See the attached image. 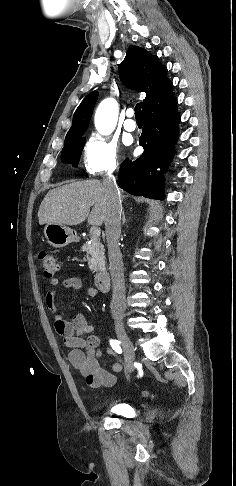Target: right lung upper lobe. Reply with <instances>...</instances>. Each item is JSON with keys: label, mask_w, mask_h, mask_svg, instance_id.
<instances>
[{"label": "right lung upper lobe", "mask_w": 236, "mask_h": 486, "mask_svg": "<svg viewBox=\"0 0 236 486\" xmlns=\"http://www.w3.org/2000/svg\"><path fill=\"white\" fill-rule=\"evenodd\" d=\"M120 79L124 85L145 92L143 108L172 93L173 84L168 80L167 68L158 57L145 49L131 46L119 67ZM97 99V92L88 94L76 109L72 126L65 138V144L82 138L86 131Z\"/></svg>", "instance_id": "obj_1"}]
</instances>
